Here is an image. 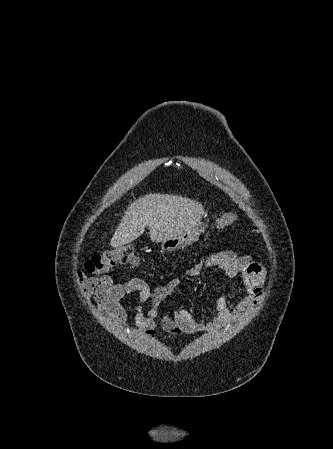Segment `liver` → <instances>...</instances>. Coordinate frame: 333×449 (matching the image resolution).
Masks as SVG:
<instances>
[{
    "mask_svg": "<svg viewBox=\"0 0 333 449\" xmlns=\"http://www.w3.org/2000/svg\"><path fill=\"white\" fill-rule=\"evenodd\" d=\"M204 214L203 206L188 198L168 194H147L134 200L124 212L110 241L121 248L149 228L152 242H162L193 226Z\"/></svg>",
    "mask_w": 333,
    "mask_h": 449,
    "instance_id": "obj_1",
    "label": "liver"
}]
</instances>
